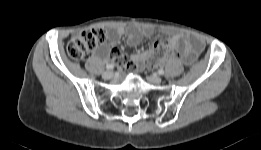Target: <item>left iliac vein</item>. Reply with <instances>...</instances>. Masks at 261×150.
Returning <instances> with one entry per match:
<instances>
[{"instance_id":"1","label":"left iliac vein","mask_w":261,"mask_h":150,"mask_svg":"<svg viewBox=\"0 0 261 150\" xmlns=\"http://www.w3.org/2000/svg\"><path fill=\"white\" fill-rule=\"evenodd\" d=\"M148 80L153 84H160L162 82V79L159 76H150Z\"/></svg>"}]
</instances>
